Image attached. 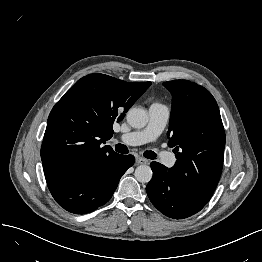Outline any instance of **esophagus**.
I'll return each instance as SVG.
<instances>
[{
  "label": "esophagus",
  "instance_id": "1",
  "mask_svg": "<svg viewBox=\"0 0 262 262\" xmlns=\"http://www.w3.org/2000/svg\"><path fill=\"white\" fill-rule=\"evenodd\" d=\"M137 164H148V160L141 156H136Z\"/></svg>",
  "mask_w": 262,
  "mask_h": 262
}]
</instances>
